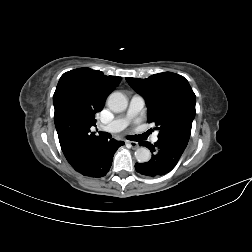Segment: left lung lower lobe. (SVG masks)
<instances>
[{
  "label": "left lung lower lobe",
  "instance_id": "obj_1",
  "mask_svg": "<svg viewBox=\"0 0 252 252\" xmlns=\"http://www.w3.org/2000/svg\"><path fill=\"white\" fill-rule=\"evenodd\" d=\"M152 153L150 161L136 163L138 173L147 177H158L170 172L180 160L187 145L170 138H158L155 144L141 142Z\"/></svg>",
  "mask_w": 252,
  "mask_h": 252
}]
</instances>
